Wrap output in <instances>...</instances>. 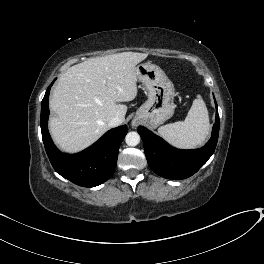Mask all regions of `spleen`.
I'll list each match as a JSON object with an SVG mask.
<instances>
[{"label":"spleen","mask_w":264,"mask_h":264,"mask_svg":"<svg viewBox=\"0 0 264 264\" xmlns=\"http://www.w3.org/2000/svg\"><path fill=\"white\" fill-rule=\"evenodd\" d=\"M210 129L208 110L200 95L184 121L161 126L158 133L166 141L179 148H195L204 143Z\"/></svg>","instance_id":"spleen-1"}]
</instances>
